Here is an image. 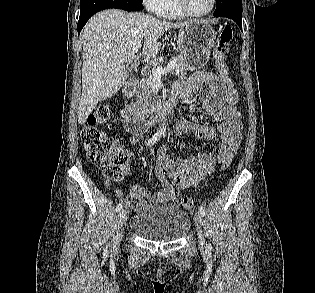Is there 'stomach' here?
<instances>
[{
  "mask_svg": "<svg viewBox=\"0 0 315 293\" xmlns=\"http://www.w3.org/2000/svg\"><path fill=\"white\" fill-rule=\"evenodd\" d=\"M216 36L211 25L204 21H192L180 29L177 47L187 58L189 70H197L207 64L216 45Z\"/></svg>",
  "mask_w": 315,
  "mask_h": 293,
  "instance_id": "obj_1",
  "label": "stomach"
}]
</instances>
